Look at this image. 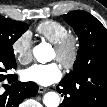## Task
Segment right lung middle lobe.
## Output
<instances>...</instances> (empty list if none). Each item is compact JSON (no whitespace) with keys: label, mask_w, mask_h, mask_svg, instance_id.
I'll use <instances>...</instances> for the list:
<instances>
[{"label":"right lung middle lobe","mask_w":107,"mask_h":107,"mask_svg":"<svg viewBox=\"0 0 107 107\" xmlns=\"http://www.w3.org/2000/svg\"><path fill=\"white\" fill-rule=\"evenodd\" d=\"M4 25V33L0 36V81L13 75L7 72L16 68L12 45L28 29V25L0 17Z\"/></svg>","instance_id":"obj_1"}]
</instances>
